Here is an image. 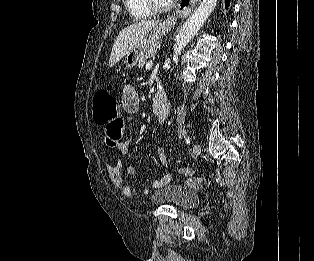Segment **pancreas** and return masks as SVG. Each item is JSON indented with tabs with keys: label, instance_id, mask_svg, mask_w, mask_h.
<instances>
[{
	"label": "pancreas",
	"instance_id": "1",
	"mask_svg": "<svg viewBox=\"0 0 314 261\" xmlns=\"http://www.w3.org/2000/svg\"><path fill=\"white\" fill-rule=\"evenodd\" d=\"M157 53V48L155 45H153L150 49L145 51L143 55L140 57L138 61V67H143L148 59H154L155 55Z\"/></svg>",
	"mask_w": 314,
	"mask_h": 261
}]
</instances>
